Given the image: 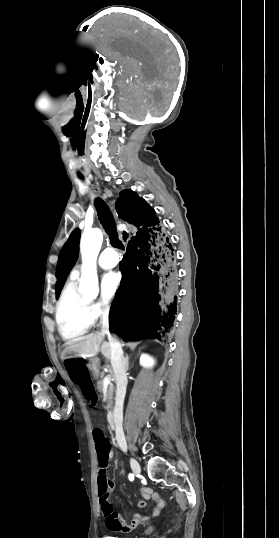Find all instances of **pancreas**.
<instances>
[{"label":"pancreas","mask_w":279,"mask_h":538,"mask_svg":"<svg viewBox=\"0 0 279 538\" xmlns=\"http://www.w3.org/2000/svg\"><path fill=\"white\" fill-rule=\"evenodd\" d=\"M96 362H99V360H96ZM103 376H104V374H101V376H100L101 380H98V382H97V390H98V392H101V394L103 392ZM113 392H114V386H113V384H109V386L107 388V394H106V400L108 402L106 410H109V412H110V408H111V406L113 404Z\"/></svg>","instance_id":"pancreas-1"}]
</instances>
